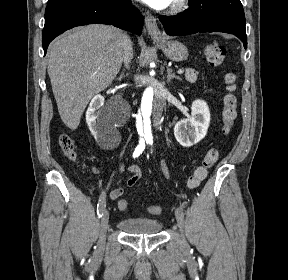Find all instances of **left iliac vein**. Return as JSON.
<instances>
[{
  "label": "left iliac vein",
  "mask_w": 288,
  "mask_h": 280,
  "mask_svg": "<svg viewBox=\"0 0 288 280\" xmlns=\"http://www.w3.org/2000/svg\"><path fill=\"white\" fill-rule=\"evenodd\" d=\"M179 207L176 208L175 210V217H176V220H177V224H178V227L180 229V231L183 233L184 232V227H185V219H184V213H180L179 212ZM183 241H184V244H186V241H185V238H184V235H183Z\"/></svg>",
  "instance_id": "4c4485c4"
}]
</instances>
